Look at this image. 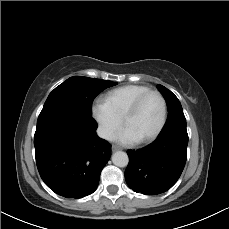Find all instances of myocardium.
<instances>
[{
	"label": "myocardium",
	"mask_w": 229,
	"mask_h": 229,
	"mask_svg": "<svg viewBox=\"0 0 229 229\" xmlns=\"http://www.w3.org/2000/svg\"><path fill=\"white\" fill-rule=\"evenodd\" d=\"M151 95H156L159 97L161 104H162V119L161 122L158 126V128L149 136L139 139L136 143L133 145H138V144H145V143H150L154 141L164 130L166 122H167V116H168V107H167V102L165 97L158 91L155 90H150L141 96H139L137 99H135L127 108L123 118H122V126L123 128L126 126L128 121L133 117V115L137 112L143 101L151 96Z\"/></svg>",
	"instance_id": "f54148a6"
}]
</instances>
